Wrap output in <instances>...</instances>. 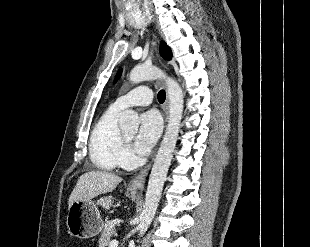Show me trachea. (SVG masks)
I'll list each match as a JSON object with an SVG mask.
<instances>
[{"mask_svg": "<svg viewBox=\"0 0 310 247\" xmlns=\"http://www.w3.org/2000/svg\"><path fill=\"white\" fill-rule=\"evenodd\" d=\"M157 98H158V101L160 103H163L165 101V98H166L165 91L164 90L159 91Z\"/></svg>", "mask_w": 310, "mask_h": 247, "instance_id": "1", "label": "trachea"}]
</instances>
